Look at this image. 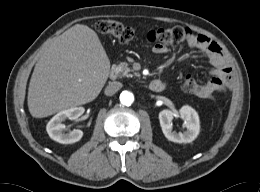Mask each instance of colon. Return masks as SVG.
I'll return each instance as SVG.
<instances>
[{"mask_svg": "<svg viewBox=\"0 0 260 192\" xmlns=\"http://www.w3.org/2000/svg\"><path fill=\"white\" fill-rule=\"evenodd\" d=\"M96 29L105 35L115 37L120 43L131 42L135 33L131 27L113 19H102L96 23ZM192 36L191 31L182 26L172 28H160L151 30L146 40L153 45L176 46L185 43ZM200 84L197 83L192 75H187L183 82L185 92L195 94L199 91Z\"/></svg>", "mask_w": 260, "mask_h": 192, "instance_id": "colon-1", "label": "colon"}]
</instances>
